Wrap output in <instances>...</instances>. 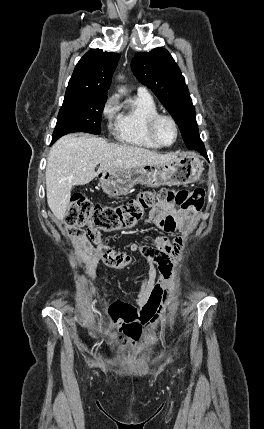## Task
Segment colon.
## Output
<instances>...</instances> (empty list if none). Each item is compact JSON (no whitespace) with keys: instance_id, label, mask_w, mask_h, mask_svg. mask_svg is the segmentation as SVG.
I'll return each instance as SVG.
<instances>
[{"instance_id":"colon-1","label":"colon","mask_w":264,"mask_h":429,"mask_svg":"<svg viewBox=\"0 0 264 429\" xmlns=\"http://www.w3.org/2000/svg\"><path fill=\"white\" fill-rule=\"evenodd\" d=\"M205 192L202 188L193 190H173L162 188L158 191H146L128 202L117 205H103L94 202L83 194H75L67 212L65 223L70 232L77 233L86 229L91 237L101 232L128 229L135 226L148 209L160 204L175 202L189 216H195L202 209ZM108 313L111 323L120 330L126 329L135 319L129 305L112 304Z\"/></svg>"}]
</instances>
